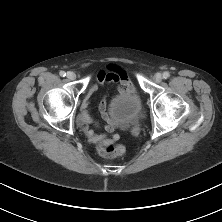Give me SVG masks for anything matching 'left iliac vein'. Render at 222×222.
<instances>
[{"label":"left iliac vein","instance_id":"left-iliac-vein-1","mask_svg":"<svg viewBox=\"0 0 222 222\" xmlns=\"http://www.w3.org/2000/svg\"><path fill=\"white\" fill-rule=\"evenodd\" d=\"M154 80H155V82H157V83L161 82V80H162V75H161L160 73H156V74L154 75Z\"/></svg>","mask_w":222,"mask_h":222}]
</instances>
